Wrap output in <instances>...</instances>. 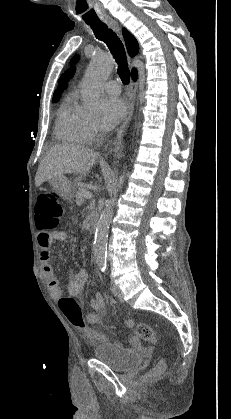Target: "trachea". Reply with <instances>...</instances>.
Instances as JSON below:
<instances>
[{
	"instance_id": "obj_1",
	"label": "trachea",
	"mask_w": 231,
	"mask_h": 419,
	"mask_svg": "<svg viewBox=\"0 0 231 419\" xmlns=\"http://www.w3.org/2000/svg\"><path fill=\"white\" fill-rule=\"evenodd\" d=\"M87 24L93 30L95 37L107 44L118 64V74L122 82L127 85L130 80V71L121 40L112 29H108L107 25L101 21L87 22Z\"/></svg>"
}]
</instances>
